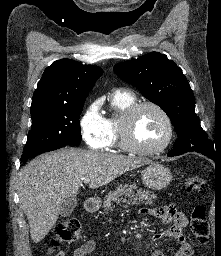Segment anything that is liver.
Returning a JSON list of instances; mask_svg holds the SVG:
<instances>
[{"label": "liver", "instance_id": "6515ba94", "mask_svg": "<svg viewBox=\"0 0 221 256\" xmlns=\"http://www.w3.org/2000/svg\"><path fill=\"white\" fill-rule=\"evenodd\" d=\"M153 163L144 158L63 148L37 157L18 176L20 205L30 235L40 242L55 225L66 198L78 194L84 179L91 189L104 186L132 169Z\"/></svg>", "mask_w": 221, "mask_h": 256}]
</instances>
